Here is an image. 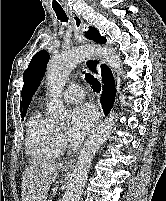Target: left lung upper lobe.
Wrapping results in <instances>:
<instances>
[{
	"label": "left lung upper lobe",
	"mask_w": 166,
	"mask_h": 201,
	"mask_svg": "<svg viewBox=\"0 0 166 201\" xmlns=\"http://www.w3.org/2000/svg\"><path fill=\"white\" fill-rule=\"evenodd\" d=\"M85 36L98 43H105L107 41L105 37H102L99 32L92 27H89V32H86ZM48 59L49 55L46 50L39 51L33 56L28 68L24 71V86L21 94L24 115L39 85V81L45 73Z\"/></svg>",
	"instance_id": "1"
}]
</instances>
